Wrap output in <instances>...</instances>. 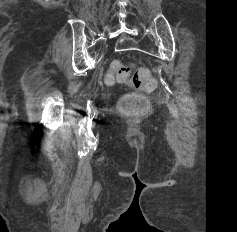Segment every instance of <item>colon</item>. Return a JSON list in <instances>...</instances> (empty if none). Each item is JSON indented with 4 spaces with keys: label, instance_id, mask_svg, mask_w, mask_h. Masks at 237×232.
<instances>
[{
    "label": "colon",
    "instance_id": "5ec220e1",
    "mask_svg": "<svg viewBox=\"0 0 237 232\" xmlns=\"http://www.w3.org/2000/svg\"><path fill=\"white\" fill-rule=\"evenodd\" d=\"M131 70V65L123 64L120 61H114L111 63L106 75V82L108 84H113L115 82L128 83L137 91L125 96L120 104V108L124 113L136 115L148 110V103L142 96V93H151L155 91L157 82L150 71L145 68L137 69L131 79H129Z\"/></svg>",
    "mask_w": 237,
    "mask_h": 232
}]
</instances>
